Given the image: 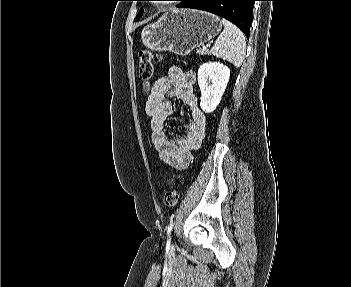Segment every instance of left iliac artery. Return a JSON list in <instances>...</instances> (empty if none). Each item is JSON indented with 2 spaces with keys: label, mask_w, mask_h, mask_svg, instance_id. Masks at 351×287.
I'll return each mask as SVG.
<instances>
[{
  "label": "left iliac artery",
  "mask_w": 351,
  "mask_h": 287,
  "mask_svg": "<svg viewBox=\"0 0 351 287\" xmlns=\"http://www.w3.org/2000/svg\"><path fill=\"white\" fill-rule=\"evenodd\" d=\"M173 226H174V222L171 221V222H170V225H169V227H168V230H167V234H168V235L171 234V231H172V229H173Z\"/></svg>",
  "instance_id": "left-iliac-artery-1"
}]
</instances>
